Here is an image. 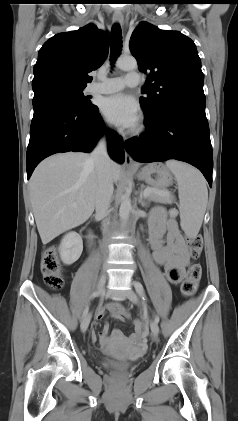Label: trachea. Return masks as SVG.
I'll return each instance as SVG.
<instances>
[{
  "label": "trachea",
  "instance_id": "1",
  "mask_svg": "<svg viewBox=\"0 0 238 421\" xmlns=\"http://www.w3.org/2000/svg\"><path fill=\"white\" fill-rule=\"evenodd\" d=\"M122 50V32L119 24H114L111 30V62H114Z\"/></svg>",
  "mask_w": 238,
  "mask_h": 421
}]
</instances>
